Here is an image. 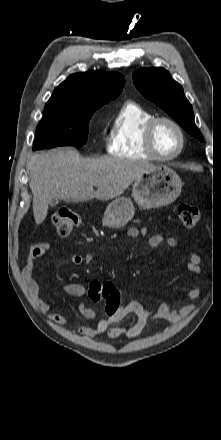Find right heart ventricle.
I'll return each mask as SVG.
<instances>
[{"mask_svg": "<svg viewBox=\"0 0 221 440\" xmlns=\"http://www.w3.org/2000/svg\"><path fill=\"white\" fill-rule=\"evenodd\" d=\"M154 117L139 103L128 100L120 107L109 134L108 153L116 158L152 159L144 145V127Z\"/></svg>", "mask_w": 221, "mask_h": 440, "instance_id": "1", "label": "right heart ventricle"}]
</instances>
